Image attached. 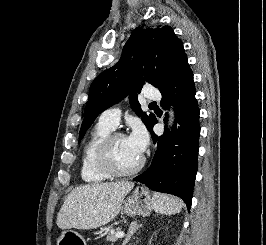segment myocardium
<instances>
[{
    "mask_svg": "<svg viewBox=\"0 0 266 245\" xmlns=\"http://www.w3.org/2000/svg\"><path fill=\"white\" fill-rule=\"evenodd\" d=\"M117 137H125L121 132L111 131L97 148L95 160L98 169L109 178H127L137 174L143 167L144 160L139 158L133 169L127 172L118 171L112 162V145Z\"/></svg>",
    "mask_w": 266,
    "mask_h": 245,
    "instance_id": "f54148a6",
    "label": "myocardium"
}]
</instances>
